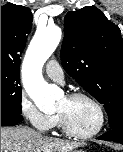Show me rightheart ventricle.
Instances as JSON below:
<instances>
[{
    "mask_svg": "<svg viewBox=\"0 0 123 152\" xmlns=\"http://www.w3.org/2000/svg\"><path fill=\"white\" fill-rule=\"evenodd\" d=\"M55 125H60V121H59L58 116H56V122H55Z\"/></svg>",
    "mask_w": 123,
    "mask_h": 152,
    "instance_id": "1",
    "label": "right heart ventricle"
}]
</instances>
